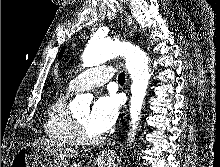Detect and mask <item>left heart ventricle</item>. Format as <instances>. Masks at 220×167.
Returning a JSON list of instances; mask_svg holds the SVG:
<instances>
[{
	"label": "left heart ventricle",
	"instance_id": "b2bd125f",
	"mask_svg": "<svg viewBox=\"0 0 220 167\" xmlns=\"http://www.w3.org/2000/svg\"><path fill=\"white\" fill-rule=\"evenodd\" d=\"M88 110H83L81 112H78L75 114L76 118L82 123V125L84 126L85 130L91 134V135H96L95 132H93L89 127H88V124H87V117H88Z\"/></svg>",
	"mask_w": 220,
	"mask_h": 167
}]
</instances>
